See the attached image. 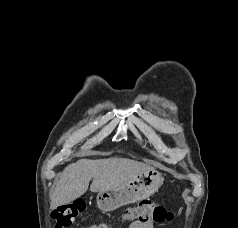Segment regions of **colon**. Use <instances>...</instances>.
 I'll use <instances>...</instances> for the list:
<instances>
[{
    "label": "colon",
    "mask_w": 238,
    "mask_h": 228,
    "mask_svg": "<svg viewBox=\"0 0 238 228\" xmlns=\"http://www.w3.org/2000/svg\"><path fill=\"white\" fill-rule=\"evenodd\" d=\"M82 201L60 205L52 212L54 228H69L73 221L84 211ZM124 218L141 224H161L172 219V214L162 205L143 200L138 205L126 210ZM83 228H107L103 224L90 225Z\"/></svg>",
    "instance_id": "colon-1"
}]
</instances>
